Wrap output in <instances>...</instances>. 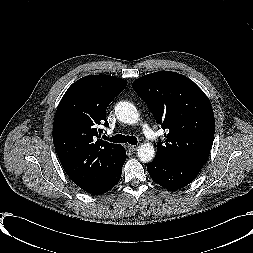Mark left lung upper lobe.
Wrapping results in <instances>:
<instances>
[{
	"label": "left lung upper lobe",
	"mask_w": 253,
	"mask_h": 253,
	"mask_svg": "<svg viewBox=\"0 0 253 253\" xmlns=\"http://www.w3.org/2000/svg\"><path fill=\"white\" fill-rule=\"evenodd\" d=\"M146 102L156 122L168 129L165 144H157L155 158L204 165L208 159L215 121L211 103L204 92L187 77L159 71L132 84Z\"/></svg>",
	"instance_id": "1"
}]
</instances>
